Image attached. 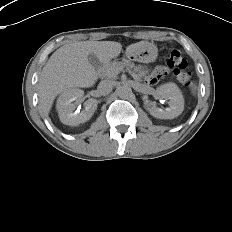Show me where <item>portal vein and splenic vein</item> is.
<instances>
[{
	"instance_id": "obj_1",
	"label": "portal vein and splenic vein",
	"mask_w": 232,
	"mask_h": 232,
	"mask_svg": "<svg viewBox=\"0 0 232 232\" xmlns=\"http://www.w3.org/2000/svg\"><path fill=\"white\" fill-rule=\"evenodd\" d=\"M131 74V76L135 79V80H138V77L135 73H132V72H129Z\"/></svg>"
}]
</instances>
